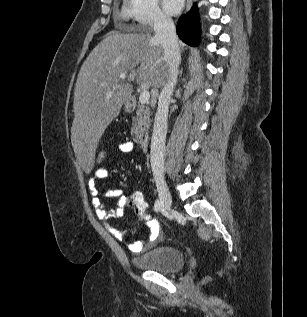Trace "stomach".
Returning a JSON list of instances; mask_svg holds the SVG:
<instances>
[{
	"label": "stomach",
	"instance_id": "stomach-1",
	"mask_svg": "<svg viewBox=\"0 0 307 317\" xmlns=\"http://www.w3.org/2000/svg\"><path fill=\"white\" fill-rule=\"evenodd\" d=\"M125 104V110L126 111H129V109H130V107H129V104L126 102V103H124Z\"/></svg>",
	"mask_w": 307,
	"mask_h": 317
}]
</instances>
